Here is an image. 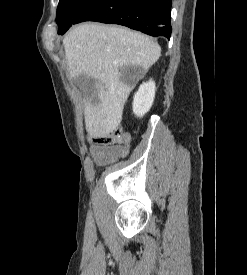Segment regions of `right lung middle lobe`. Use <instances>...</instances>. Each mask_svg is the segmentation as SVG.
Returning a JSON list of instances; mask_svg holds the SVG:
<instances>
[{
    "instance_id": "right-lung-middle-lobe-1",
    "label": "right lung middle lobe",
    "mask_w": 247,
    "mask_h": 275,
    "mask_svg": "<svg viewBox=\"0 0 247 275\" xmlns=\"http://www.w3.org/2000/svg\"><path fill=\"white\" fill-rule=\"evenodd\" d=\"M99 0H60L57 8L56 22L58 34L66 32L75 20L90 6Z\"/></svg>"
}]
</instances>
